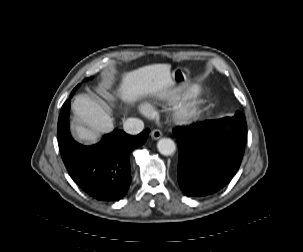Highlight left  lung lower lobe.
Returning <instances> with one entry per match:
<instances>
[{"mask_svg": "<svg viewBox=\"0 0 303 252\" xmlns=\"http://www.w3.org/2000/svg\"><path fill=\"white\" fill-rule=\"evenodd\" d=\"M229 124L233 129L221 133ZM173 134L179 147L178 183L188 196L217 192L239 169L247 141L245 118L204 121Z\"/></svg>", "mask_w": 303, "mask_h": 252, "instance_id": "0a47b994", "label": "left lung lower lobe"}]
</instances>
